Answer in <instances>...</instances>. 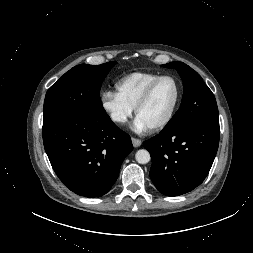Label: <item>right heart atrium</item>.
Listing matches in <instances>:
<instances>
[{
    "label": "right heart atrium",
    "instance_id": "1",
    "mask_svg": "<svg viewBox=\"0 0 253 253\" xmlns=\"http://www.w3.org/2000/svg\"><path fill=\"white\" fill-rule=\"evenodd\" d=\"M101 106L110 119L118 125L125 124L132 114V108L113 91H106L102 94Z\"/></svg>",
    "mask_w": 253,
    "mask_h": 253
}]
</instances>
